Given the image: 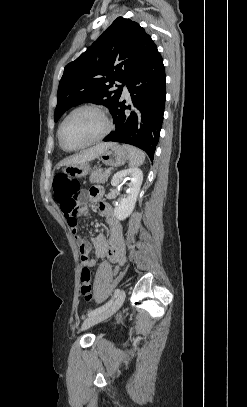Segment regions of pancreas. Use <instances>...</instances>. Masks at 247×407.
<instances>
[{"mask_svg":"<svg viewBox=\"0 0 247 407\" xmlns=\"http://www.w3.org/2000/svg\"><path fill=\"white\" fill-rule=\"evenodd\" d=\"M109 176L110 173H106L103 169L98 168L91 173L89 181L91 183H105L108 180Z\"/></svg>","mask_w":247,"mask_h":407,"instance_id":"cf45deb5","label":"pancreas"}]
</instances>
